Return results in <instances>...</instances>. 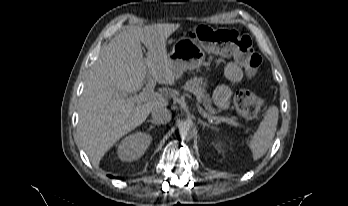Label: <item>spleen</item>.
I'll return each mask as SVG.
<instances>
[{
    "label": "spleen",
    "instance_id": "obj_1",
    "mask_svg": "<svg viewBox=\"0 0 348 206\" xmlns=\"http://www.w3.org/2000/svg\"><path fill=\"white\" fill-rule=\"evenodd\" d=\"M277 122L278 108L271 106L265 112L263 120L249 142L254 160L259 159L267 152L275 136Z\"/></svg>",
    "mask_w": 348,
    "mask_h": 206
}]
</instances>
